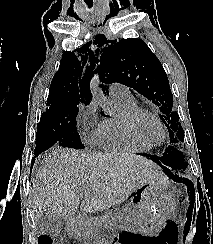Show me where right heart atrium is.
<instances>
[{
    "label": "right heart atrium",
    "instance_id": "1",
    "mask_svg": "<svg viewBox=\"0 0 213 244\" xmlns=\"http://www.w3.org/2000/svg\"><path fill=\"white\" fill-rule=\"evenodd\" d=\"M98 114L94 103L81 107L77 116V126L81 138L86 143H95Z\"/></svg>",
    "mask_w": 213,
    "mask_h": 244
}]
</instances>
